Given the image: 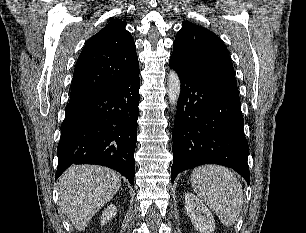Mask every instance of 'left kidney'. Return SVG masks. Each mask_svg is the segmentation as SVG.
<instances>
[{"label":"left kidney","mask_w":306,"mask_h":233,"mask_svg":"<svg viewBox=\"0 0 306 233\" xmlns=\"http://www.w3.org/2000/svg\"><path fill=\"white\" fill-rule=\"evenodd\" d=\"M185 208L191 222L200 233H212L215 221L210 210L193 193L185 195Z\"/></svg>","instance_id":"1"}]
</instances>
